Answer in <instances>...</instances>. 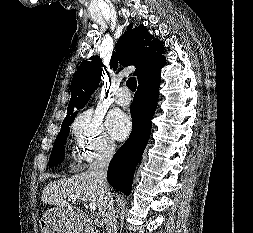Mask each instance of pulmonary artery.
<instances>
[{
  "label": "pulmonary artery",
  "instance_id": "1",
  "mask_svg": "<svg viewBox=\"0 0 253 233\" xmlns=\"http://www.w3.org/2000/svg\"><path fill=\"white\" fill-rule=\"evenodd\" d=\"M131 102V96L129 95L126 87H121L115 95V103L119 106H127Z\"/></svg>",
  "mask_w": 253,
  "mask_h": 233
}]
</instances>
